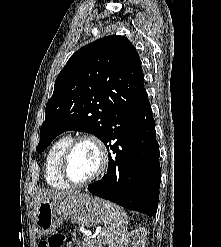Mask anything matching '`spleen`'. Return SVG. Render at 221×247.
Listing matches in <instances>:
<instances>
[{
	"label": "spleen",
	"mask_w": 221,
	"mask_h": 247,
	"mask_svg": "<svg viewBox=\"0 0 221 247\" xmlns=\"http://www.w3.org/2000/svg\"><path fill=\"white\" fill-rule=\"evenodd\" d=\"M105 208V228L98 236L101 244H111L119 242L127 232L128 217L126 212L119 206L106 202Z\"/></svg>",
	"instance_id": "3e777b00"
}]
</instances>
